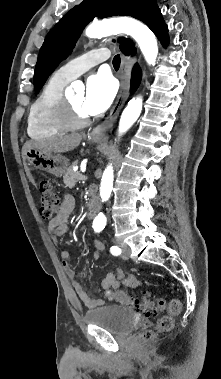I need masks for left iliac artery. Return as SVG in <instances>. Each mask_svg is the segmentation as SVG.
<instances>
[{
  "label": "left iliac artery",
  "instance_id": "44dca946",
  "mask_svg": "<svg viewBox=\"0 0 221 379\" xmlns=\"http://www.w3.org/2000/svg\"><path fill=\"white\" fill-rule=\"evenodd\" d=\"M95 231L96 232H100L101 231V228H95ZM110 252H111V254H113V255H120L121 254V249L119 248V247H117V246H112L111 248H110Z\"/></svg>",
  "mask_w": 221,
  "mask_h": 379
}]
</instances>
